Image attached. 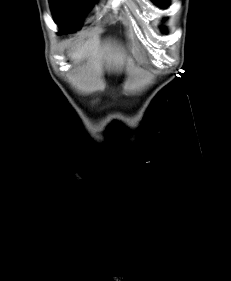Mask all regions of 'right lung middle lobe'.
<instances>
[{"label":"right lung middle lobe","mask_w":231,"mask_h":281,"mask_svg":"<svg viewBox=\"0 0 231 281\" xmlns=\"http://www.w3.org/2000/svg\"><path fill=\"white\" fill-rule=\"evenodd\" d=\"M56 23L67 33L79 28V20L85 16L95 0H49Z\"/></svg>","instance_id":"1"}]
</instances>
